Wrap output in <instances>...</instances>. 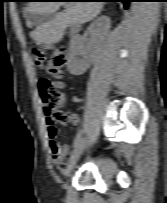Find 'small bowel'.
I'll list each match as a JSON object with an SVG mask.
<instances>
[{
    "label": "small bowel",
    "instance_id": "obj_1",
    "mask_svg": "<svg viewBox=\"0 0 167 203\" xmlns=\"http://www.w3.org/2000/svg\"><path fill=\"white\" fill-rule=\"evenodd\" d=\"M71 122L74 126H77L79 124V117L76 115L73 116L71 118ZM47 123H48L49 148L52 153V157L58 163H62L63 160L70 153L71 148L68 145L62 146L56 141L55 139L57 134L56 128L53 125H51L48 120Z\"/></svg>",
    "mask_w": 167,
    "mask_h": 203
}]
</instances>
